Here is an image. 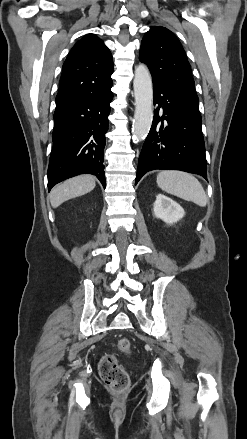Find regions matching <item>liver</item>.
<instances>
[{
  "instance_id": "1",
  "label": "liver",
  "mask_w": 247,
  "mask_h": 439,
  "mask_svg": "<svg viewBox=\"0 0 247 439\" xmlns=\"http://www.w3.org/2000/svg\"><path fill=\"white\" fill-rule=\"evenodd\" d=\"M95 186V178L91 175H80L68 179L51 190V205L53 208H57L69 199L89 193Z\"/></svg>"
}]
</instances>
